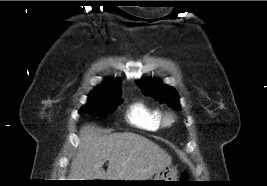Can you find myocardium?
I'll list each match as a JSON object with an SVG mask.
<instances>
[{"label":"myocardium","mask_w":267,"mask_h":186,"mask_svg":"<svg viewBox=\"0 0 267 186\" xmlns=\"http://www.w3.org/2000/svg\"><path fill=\"white\" fill-rule=\"evenodd\" d=\"M176 114L173 111H165L162 113L161 122L162 126L170 127L176 121Z\"/></svg>","instance_id":"1"}]
</instances>
